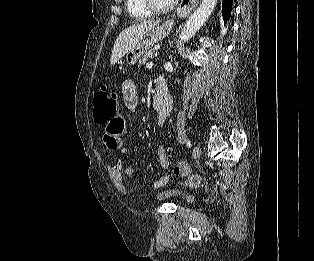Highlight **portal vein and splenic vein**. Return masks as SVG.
<instances>
[{
    "label": "portal vein and splenic vein",
    "mask_w": 314,
    "mask_h": 261,
    "mask_svg": "<svg viewBox=\"0 0 314 261\" xmlns=\"http://www.w3.org/2000/svg\"><path fill=\"white\" fill-rule=\"evenodd\" d=\"M152 67H153V63H152V62L147 63V65H146V68H147V69H151Z\"/></svg>",
    "instance_id": "portal-vein-and-splenic-vein-1"
}]
</instances>
